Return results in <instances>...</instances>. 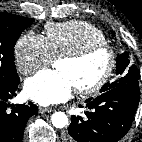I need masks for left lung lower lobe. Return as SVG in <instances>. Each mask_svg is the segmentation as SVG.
I'll return each instance as SVG.
<instances>
[{"instance_id":"obj_1","label":"left lung lower lobe","mask_w":142,"mask_h":142,"mask_svg":"<svg viewBox=\"0 0 142 142\" xmlns=\"http://www.w3.org/2000/svg\"><path fill=\"white\" fill-rule=\"evenodd\" d=\"M139 98V84L128 83L87 99L86 106L91 112H86L85 120L72 116L64 141H119L131 127Z\"/></svg>"}]
</instances>
